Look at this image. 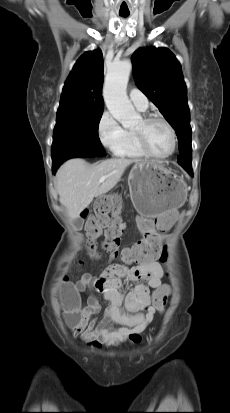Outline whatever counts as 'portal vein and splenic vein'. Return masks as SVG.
I'll use <instances>...</instances> for the list:
<instances>
[{
  "label": "portal vein and splenic vein",
  "mask_w": 230,
  "mask_h": 413,
  "mask_svg": "<svg viewBox=\"0 0 230 413\" xmlns=\"http://www.w3.org/2000/svg\"><path fill=\"white\" fill-rule=\"evenodd\" d=\"M105 179H106L105 176H104V177H101V178L99 179V183H103V182L105 181Z\"/></svg>",
  "instance_id": "1"
}]
</instances>
